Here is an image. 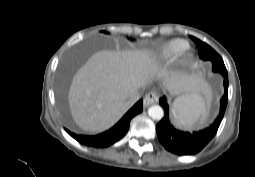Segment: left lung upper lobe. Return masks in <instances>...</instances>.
<instances>
[{
	"label": "left lung upper lobe",
	"mask_w": 255,
	"mask_h": 177,
	"mask_svg": "<svg viewBox=\"0 0 255 177\" xmlns=\"http://www.w3.org/2000/svg\"><path fill=\"white\" fill-rule=\"evenodd\" d=\"M192 40L196 43L199 49V55L203 60H209L213 64V71L220 72L223 76H228L226 67L222 58L216 53L209 45L202 42L201 40L192 37Z\"/></svg>",
	"instance_id": "obj_1"
}]
</instances>
